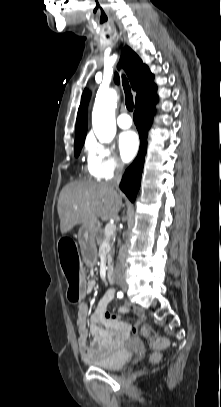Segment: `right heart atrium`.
I'll return each instance as SVG.
<instances>
[{
    "instance_id": "obj_1",
    "label": "right heart atrium",
    "mask_w": 221,
    "mask_h": 407,
    "mask_svg": "<svg viewBox=\"0 0 221 407\" xmlns=\"http://www.w3.org/2000/svg\"><path fill=\"white\" fill-rule=\"evenodd\" d=\"M86 151L88 169L96 178H110L123 166V163L110 147L94 139L88 140Z\"/></svg>"
}]
</instances>
